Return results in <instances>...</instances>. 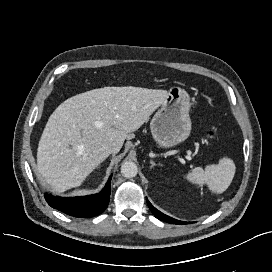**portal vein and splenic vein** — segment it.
Listing matches in <instances>:
<instances>
[{
  "label": "portal vein and splenic vein",
  "instance_id": "1",
  "mask_svg": "<svg viewBox=\"0 0 272 272\" xmlns=\"http://www.w3.org/2000/svg\"><path fill=\"white\" fill-rule=\"evenodd\" d=\"M185 158L188 159V160H192V157H191V155H189V154L186 155ZM178 159H179L181 162L184 161V160H183L182 158H180V157H178Z\"/></svg>",
  "mask_w": 272,
  "mask_h": 272
}]
</instances>
